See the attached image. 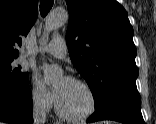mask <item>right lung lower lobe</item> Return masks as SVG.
I'll return each mask as SVG.
<instances>
[{"mask_svg":"<svg viewBox=\"0 0 156 124\" xmlns=\"http://www.w3.org/2000/svg\"><path fill=\"white\" fill-rule=\"evenodd\" d=\"M0 122L11 124L33 122L29 83L15 85L0 79Z\"/></svg>","mask_w":156,"mask_h":124,"instance_id":"obj_1","label":"right lung lower lobe"}]
</instances>
